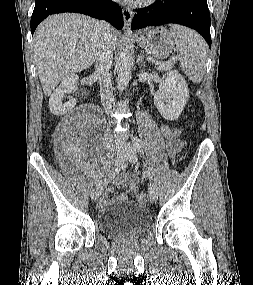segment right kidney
<instances>
[{"label":"right kidney","instance_id":"right-kidney-1","mask_svg":"<svg viewBox=\"0 0 253 285\" xmlns=\"http://www.w3.org/2000/svg\"><path fill=\"white\" fill-rule=\"evenodd\" d=\"M78 80V75L72 74L62 80L59 87L52 93L49 99V107L52 114L57 116L64 115L74 108L76 105L75 99H71L66 103H62V99L66 93L72 91Z\"/></svg>","mask_w":253,"mask_h":285}]
</instances>
